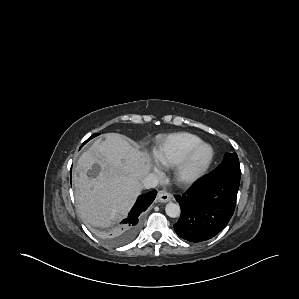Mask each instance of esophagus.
I'll return each instance as SVG.
<instances>
[{
    "instance_id": "obj_1",
    "label": "esophagus",
    "mask_w": 299,
    "mask_h": 299,
    "mask_svg": "<svg viewBox=\"0 0 299 299\" xmlns=\"http://www.w3.org/2000/svg\"><path fill=\"white\" fill-rule=\"evenodd\" d=\"M172 196L170 193H168L165 190H161L158 192L157 197H156V202L157 203H166L171 200Z\"/></svg>"
}]
</instances>
